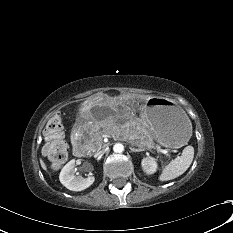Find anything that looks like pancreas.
I'll return each mask as SVG.
<instances>
[{
	"instance_id": "obj_1",
	"label": "pancreas",
	"mask_w": 233,
	"mask_h": 233,
	"mask_svg": "<svg viewBox=\"0 0 233 233\" xmlns=\"http://www.w3.org/2000/svg\"><path fill=\"white\" fill-rule=\"evenodd\" d=\"M86 129L90 133V137L86 140V143L92 152L97 151L104 145L103 136L108 134L142 148L146 147L150 149L155 147L154 136L150 132L148 124L140 119H134L131 128L124 135H122L119 127L111 120L91 123L86 126Z\"/></svg>"
}]
</instances>
